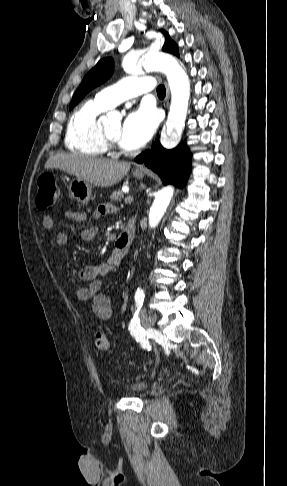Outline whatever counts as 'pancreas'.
I'll list each match as a JSON object with an SVG mask.
<instances>
[{"instance_id": "obj_1", "label": "pancreas", "mask_w": 287, "mask_h": 486, "mask_svg": "<svg viewBox=\"0 0 287 486\" xmlns=\"http://www.w3.org/2000/svg\"><path fill=\"white\" fill-rule=\"evenodd\" d=\"M123 197H124L123 192L121 190H117L111 194L110 199L111 201L114 202H121Z\"/></svg>"}]
</instances>
